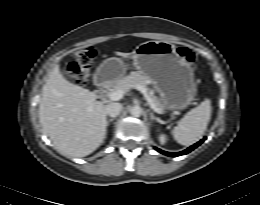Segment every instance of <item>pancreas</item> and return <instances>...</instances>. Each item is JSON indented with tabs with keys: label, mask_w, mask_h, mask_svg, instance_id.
Returning <instances> with one entry per match:
<instances>
[{
	"label": "pancreas",
	"mask_w": 260,
	"mask_h": 205,
	"mask_svg": "<svg viewBox=\"0 0 260 205\" xmlns=\"http://www.w3.org/2000/svg\"><path fill=\"white\" fill-rule=\"evenodd\" d=\"M149 82V78L140 73L139 71L130 72L129 75L121 78L120 80L116 81L111 88L108 89V95L114 91L122 90L124 93L128 92L133 86L141 85L146 88ZM149 97L152 99L156 107L160 110L163 109V106L160 100L154 95L153 91H149Z\"/></svg>",
	"instance_id": "cf45deb5"
}]
</instances>
